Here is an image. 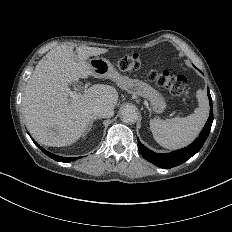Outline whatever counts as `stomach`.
<instances>
[{
  "mask_svg": "<svg viewBox=\"0 0 232 232\" xmlns=\"http://www.w3.org/2000/svg\"><path fill=\"white\" fill-rule=\"evenodd\" d=\"M90 64L98 74V77L109 79L129 94L148 100L153 113L162 114L165 111L167 107L165 98L148 83L120 74L107 58L95 57L90 60Z\"/></svg>",
  "mask_w": 232,
  "mask_h": 232,
  "instance_id": "obj_1",
  "label": "stomach"
}]
</instances>
